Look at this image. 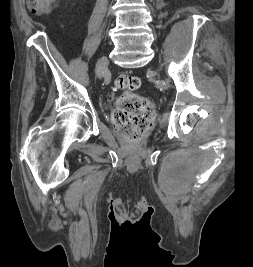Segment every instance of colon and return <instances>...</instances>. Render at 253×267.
Instances as JSON below:
<instances>
[{
    "label": "colon",
    "mask_w": 253,
    "mask_h": 267,
    "mask_svg": "<svg viewBox=\"0 0 253 267\" xmlns=\"http://www.w3.org/2000/svg\"><path fill=\"white\" fill-rule=\"evenodd\" d=\"M56 0H28L29 10L37 15L49 13ZM115 85L124 91L118 99L113 112V122L119 133L130 141L139 140L152 121L153 107L151 102L134 93L141 85L137 76L120 74Z\"/></svg>",
    "instance_id": "5ec220e1"
}]
</instances>
